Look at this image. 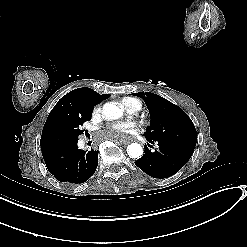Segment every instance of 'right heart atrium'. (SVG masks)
Wrapping results in <instances>:
<instances>
[{
    "instance_id": "1",
    "label": "right heart atrium",
    "mask_w": 247,
    "mask_h": 247,
    "mask_svg": "<svg viewBox=\"0 0 247 247\" xmlns=\"http://www.w3.org/2000/svg\"><path fill=\"white\" fill-rule=\"evenodd\" d=\"M101 113V106L100 105H96L93 108V116H98Z\"/></svg>"
}]
</instances>
